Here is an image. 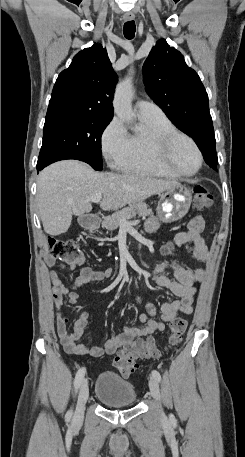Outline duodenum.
<instances>
[{"instance_id":"duodenum-1","label":"duodenum","mask_w":245,"mask_h":457,"mask_svg":"<svg viewBox=\"0 0 245 457\" xmlns=\"http://www.w3.org/2000/svg\"><path fill=\"white\" fill-rule=\"evenodd\" d=\"M97 222V218L94 215H86L82 218V224L84 226H93Z\"/></svg>"}]
</instances>
